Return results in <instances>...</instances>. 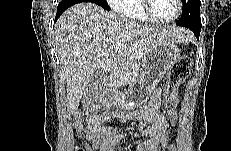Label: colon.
Here are the masks:
<instances>
[{
  "instance_id": "5ec220e1",
  "label": "colon",
  "mask_w": 231,
  "mask_h": 151,
  "mask_svg": "<svg viewBox=\"0 0 231 151\" xmlns=\"http://www.w3.org/2000/svg\"><path fill=\"white\" fill-rule=\"evenodd\" d=\"M191 59L189 56L180 57L172 66L166 82L164 93V104L168 113L170 123L176 126L178 119L176 88L189 75L191 70ZM82 116L80 112L75 114V126L80 130L82 126ZM77 151H82L77 149Z\"/></svg>"
}]
</instances>
